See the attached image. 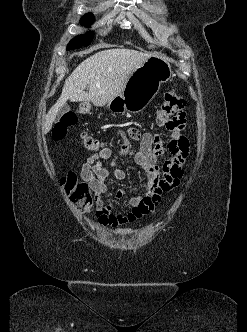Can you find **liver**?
<instances>
[{
	"label": "liver",
	"instance_id": "obj_1",
	"mask_svg": "<svg viewBox=\"0 0 247 332\" xmlns=\"http://www.w3.org/2000/svg\"><path fill=\"white\" fill-rule=\"evenodd\" d=\"M150 57V53L116 48L97 52L85 59L65 80L60 98L45 117L43 133L51 130L59 109L68 100L92 102L95 106H104L112 101L123 91L131 74ZM87 85L89 91L85 92Z\"/></svg>",
	"mask_w": 247,
	"mask_h": 332
}]
</instances>
